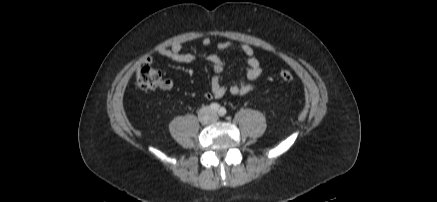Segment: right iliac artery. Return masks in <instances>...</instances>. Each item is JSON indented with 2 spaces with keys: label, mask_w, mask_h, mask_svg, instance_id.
Listing matches in <instances>:
<instances>
[{
  "label": "right iliac artery",
  "mask_w": 437,
  "mask_h": 202,
  "mask_svg": "<svg viewBox=\"0 0 437 202\" xmlns=\"http://www.w3.org/2000/svg\"><path fill=\"white\" fill-rule=\"evenodd\" d=\"M219 108H220V106H219V104H217V103H211V104H210V109H211V111H213V112H217V111L219 110Z\"/></svg>",
  "instance_id": "1"
}]
</instances>
